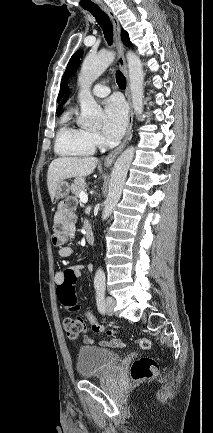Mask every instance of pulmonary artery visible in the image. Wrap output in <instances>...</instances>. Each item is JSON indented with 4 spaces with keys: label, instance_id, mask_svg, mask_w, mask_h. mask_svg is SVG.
Instances as JSON below:
<instances>
[{
    "label": "pulmonary artery",
    "instance_id": "obj_1",
    "mask_svg": "<svg viewBox=\"0 0 213 433\" xmlns=\"http://www.w3.org/2000/svg\"><path fill=\"white\" fill-rule=\"evenodd\" d=\"M92 93L97 97H105L110 93V88L104 83H99L94 86Z\"/></svg>",
    "mask_w": 213,
    "mask_h": 433
}]
</instances>
